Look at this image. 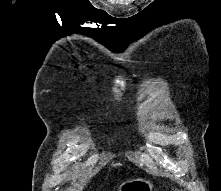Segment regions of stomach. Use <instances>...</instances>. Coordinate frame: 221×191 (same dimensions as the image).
Masks as SVG:
<instances>
[{"mask_svg":"<svg viewBox=\"0 0 221 191\" xmlns=\"http://www.w3.org/2000/svg\"><path fill=\"white\" fill-rule=\"evenodd\" d=\"M118 191H153V184L146 179H132L121 183Z\"/></svg>","mask_w":221,"mask_h":191,"instance_id":"1","label":"stomach"}]
</instances>
